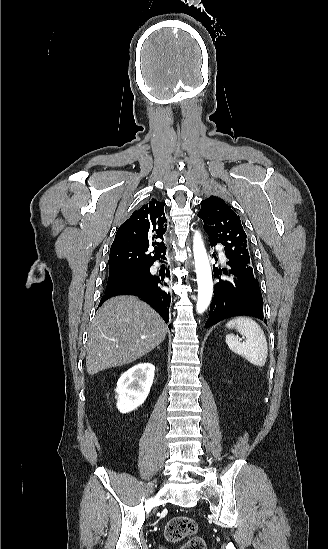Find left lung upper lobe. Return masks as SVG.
<instances>
[{
    "instance_id": "1",
    "label": "left lung upper lobe",
    "mask_w": 328,
    "mask_h": 549,
    "mask_svg": "<svg viewBox=\"0 0 328 549\" xmlns=\"http://www.w3.org/2000/svg\"><path fill=\"white\" fill-rule=\"evenodd\" d=\"M210 243L224 245L227 259L253 272L247 249V236L237 214L221 198L210 196L201 202L198 213Z\"/></svg>"
}]
</instances>
